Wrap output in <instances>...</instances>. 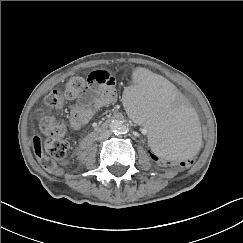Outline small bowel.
<instances>
[{
	"label": "small bowel",
	"instance_id": "c3829d8e",
	"mask_svg": "<svg viewBox=\"0 0 243 243\" xmlns=\"http://www.w3.org/2000/svg\"><path fill=\"white\" fill-rule=\"evenodd\" d=\"M115 101V83L111 85H98L95 83L89 86L87 92L71 107V128L73 130H79L91 120L97 110Z\"/></svg>",
	"mask_w": 243,
	"mask_h": 243
}]
</instances>
